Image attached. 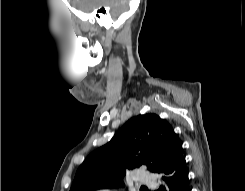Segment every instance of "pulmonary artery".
Returning a JSON list of instances; mask_svg holds the SVG:
<instances>
[{
    "label": "pulmonary artery",
    "instance_id": "e3ab8cb5",
    "mask_svg": "<svg viewBox=\"0 0 245 191\" xmlns=\"http://www.w3.org/2000/svg\"><path fill=\"white\" fill-rule=\"evenodd\" d=\"M136 182L139 185H145V186H149L152 188L156 187L155 176L148 172H143V171L138 172L136 176ZM102 191H107V190H102Z\"/></svg>",
    "mask_w": 245,
    "mask_h": 191
}]
</instances>
